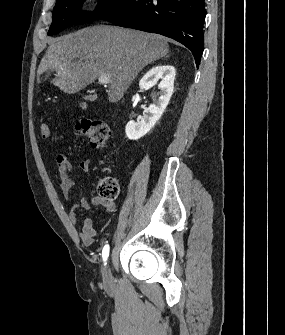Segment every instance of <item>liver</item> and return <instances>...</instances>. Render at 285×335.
Segmentation results:
<instances>
[{"label":"liver","mask_w":285,"mask_h":335,"mask_svg":"<svg viewBox=\"0 0 285 335\" xmlns=\"http://www.w3.org/2000/svg\"><path fill=\"white\" fill-rule=\"evenodd\" d=\"M47 44L49 48L38 66L39 76L47 70L56 72L54 86L65 94H76L107 74L112 104L123 98L145 66L169 52L163 36L119 26H90Z\"/></svg>","instance_id":"6515ba94"}]
</instances>
